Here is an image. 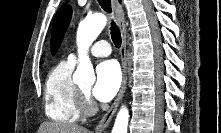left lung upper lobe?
I'll return each mask as SVG.
<instances>
[{
    "label": "left lung upper lobe",
    "mask_w": 221,
    "mask_h": 133,
    "mask_svg": "<svg viewBox=\"0 0 221 133\" xmlns=\"http://www.w3.org/2000/svg\"><path fill=\"white\" fill-rule=\"evenodd\" d=\"M72 14V8L70 5H63L57 12L52 28L51 36V52L53 54L58 50L62 39L64 37L65 31L69 25Z\"/></svg>",
    "instance_id": "left-lung-upper-lobe-1"
}]
</instances>
